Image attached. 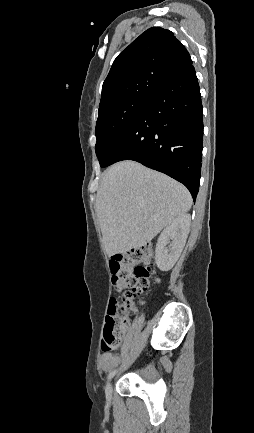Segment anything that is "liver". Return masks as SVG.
Returning a JSON list of instances; mask_svg holds the SVG:
<instances>
[{"label": "liver", "instance_id": "liver-1", "mask_svg": "<svg viewBox=\"0 0 254 433\" xmlns=\"http://www.w3.org/2000/svg\"><path fill=\"white\" fill-rule=\"evenodd\" d=\"M185 186L135 161H122L103 174L96 212L109 257L150 242L189 211Z\"/></svg>", "mask_w": 254, "mask_h": 433}]
</instances>
